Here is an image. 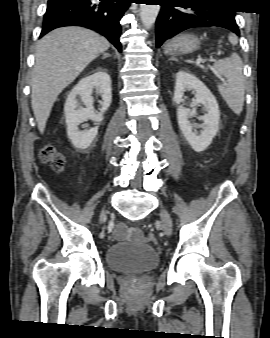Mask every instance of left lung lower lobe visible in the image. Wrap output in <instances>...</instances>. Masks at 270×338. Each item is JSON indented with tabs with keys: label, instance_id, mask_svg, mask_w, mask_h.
Returning <instances> with one entry per match:
<instances>
[{
	"label": "left lung lower lobe",
	"instance_id": "1",
	"mask_svg": "<svg viewBox=\"0 0 270 338\" xmlns=\"http://www.w3.org/2000/svg\"><path fill=\"white\" fill-rule=\"evenodd\" d=\"M155 2H159L162 6L156 20L157 47L184 30L200 26L222 27L239 35L235 10L228 8L225 0H155Z\"/></svg>",
	"mask_w": 270,
	"mask_h": 338
}]
</instances>
